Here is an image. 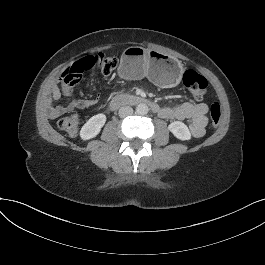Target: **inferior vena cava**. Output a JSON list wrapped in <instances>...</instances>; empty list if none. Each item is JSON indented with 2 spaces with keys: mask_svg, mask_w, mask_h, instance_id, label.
Masks as SVG:
<instances>
[{
  "mask_svg": "<svg viewBox=\"0 0 265 265\" xmlns=\"http://www.w3.org/2000/svg\"><path fill=\"white\" fill-rule=\"evenodd\" d=\"M133 114V109L129 106H124L119 109V116L124 118Z\"/></svg>",
  "mask_w": 265,
  "mask_h": 265,
  "instance_id": "602c4592",
  "label": "inferior vena cava"
}]
</instances>
